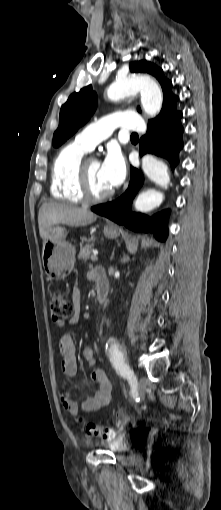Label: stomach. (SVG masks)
Wrapping results in <instances>:
<instances>
[{
    "mask_svg": "<svg viewBox=\"0 0 221 510\" xmlns=\"http://www.w3.org/2000/svg\"><path fill=\"white\" fill-rule=\"evenodd\" d=\"M103 233L110 239L119 236L116 226L106 225ZM66 229L59 225L49 229L43 240L42 262L50 280L65 279L73 270L75 264V248L65 240Z\"/></svg>",
    "mask_w": 221,
    "mask_h": 510,
    "instance_id": "obj_1",
    "label": "stomach"
}]
</instances>
